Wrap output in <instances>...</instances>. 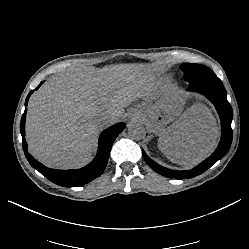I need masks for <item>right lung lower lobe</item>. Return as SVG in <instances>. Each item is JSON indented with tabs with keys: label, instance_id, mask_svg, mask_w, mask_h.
<instances>
[{
	"label": "right lung lower lobe",
	"instance_id": "right-lung-lower-lobe-1",
	"mask_svg": "<svg viewBox=\"0 0 249 249\" xmlns=\"http://www.w3.org/2000/svg\"><path fill=\"white\" fill-rule=\"evenodd\" d=\"M36 88L38 89L41 84ZM33 91H31L25 101V105L28 103V99ZM25 114L21 118L20 123V132L23 140V150L25 151V156L29 161L30 165L36 168L42 175H44L47 179L52 181L53 183L63 186V187H75L84 185L96 177L100 176L108 162V158L110 155V150L112 144L116 137L123 131L125 128L124 123H117L108 129L104 130L99 137V146L96 157L89 163L87 166L81 169L75 170H56L45 167L43 164L35 160L27 151L28 145L25 141Z\"/></svg>",
	"mask_w": 249,
	"mask_h": 249
}]
</instances>
